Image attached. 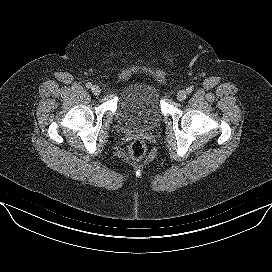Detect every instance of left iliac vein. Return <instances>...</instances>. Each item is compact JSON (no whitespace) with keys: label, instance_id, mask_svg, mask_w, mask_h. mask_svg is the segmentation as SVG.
Here are the masks:
<instances>
[{"label":"left iliac vein","instance_id":"1","mask_svg":"<svg viewBox=\"0 0 272 272\" xmlns=\"http://www.w3.org/2000/svg\"><path fill=\"white\" fill-rule=\"evenodd\" d=\"M187 97V92L185 90H180L178 93H177V99L179 101H184Z\"/></svg>","mask_w":272,"mask_h":272}]
</instances>
